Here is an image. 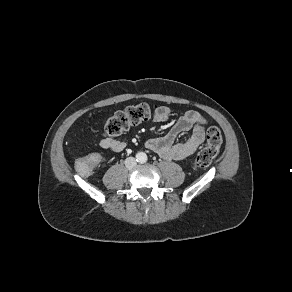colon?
I'll return each instance as SVG.
<instances>
[{"label": "colon", "instance_id": "colon-1", "mask_svg": "<svg viewBox=\"0 0 292 292\" xmlns=\"http://www.w3.org/2000/svg\"><path fill=\"white\" fill-rule=\"evenodd\" d=\"M155 110L147 103H140L128 106L124 110L114 113L105 124L104 136L111 138L120 135L132 126L149 120L155 113ZM222 141L221 130L216 126L210 127L207 132V143L198 152L193 162V167L204 168L210 165L217 155ZM97 159L98 156H88L79 159L76 163L77 170L83 175L89 174L93 170Z\"/></svg>", "mask_w": 292, "mask_h": 292}]
</instances>
